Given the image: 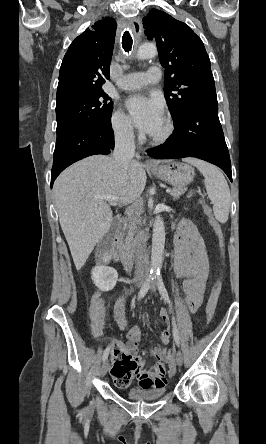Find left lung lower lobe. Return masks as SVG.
Instances as JSON below:
<instances>
[{
  "label": "left lung lower lobe",
  "instance_id": "1",
  "mask_svg": "<svg viewBox=\"0 0 266 444\" xmlns=\"http://www.w3.org/2000/svg\"><path fill=\"white\" fill-rule=\"evenodd\" d=\"M175 132L161 148L149 152L155 159L196 157L220 167L232 181L231 162L218 117V104L197 105L174 121Z\"/></svg>",
  "mask_w": 266,
  "mask_h": 444
}]
</instances>
